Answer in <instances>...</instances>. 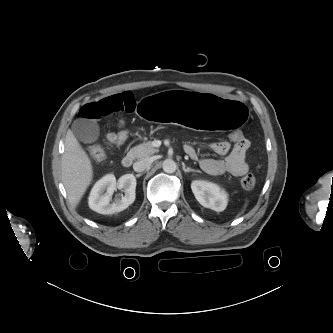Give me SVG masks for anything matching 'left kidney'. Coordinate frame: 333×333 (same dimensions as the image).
I'll return each instance as SVG.
<instances>
[{"instance_id":"left-kidney-1","label":"left kidney","mask_w":333,"mask_h":333,"mask_svg":"<svg viewBox=\"0 0 333 333\" xmlns=\"http://www.w3.org/2000/svg\"><path fill=\"white\" fill-rule=\"evenodd\" d=\"M192 192L197 201L204 207L217 212L227 206V193L214 183L196 180L191 184Z\"/></svg>"}]
</instances>
